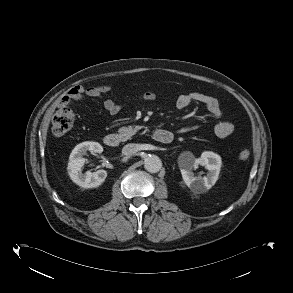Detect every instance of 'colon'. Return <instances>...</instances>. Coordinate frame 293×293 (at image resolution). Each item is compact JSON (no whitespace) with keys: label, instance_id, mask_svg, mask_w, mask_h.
<instances>
[{"label":"colon","instance_id":"5ec220e1","mask_svg":"<svg viewBox=\"0 0 293 293\" xmlns=\"http://www.w3.org/2000/svg\"><path fill=\"white\" fill-rule=\"evenodd\" d=\"M75 115L68 106H59L52 119V131L56 136H62L73 126ZM250 152L243 149L238 154V159L245 161L249 158Z\"/></svg>","mask_w":293,"mask_h":293}]
</instances>
